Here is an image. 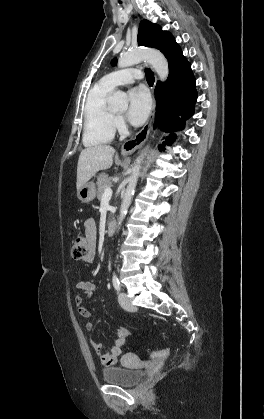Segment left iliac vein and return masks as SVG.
Instances as JSON below:
<instances>
[{
    "label": "left iliac vein",
    "mask_w": 264,
    "mask_h": 419,
    "mask_svg": "<svg viewBox=\"0 0 264 419\" xmlns=\"http://www.w3.org/2000/svg\"><path fill=\"white\" fill-rule=\"evenodd\" d=\"M121 307L127 311H135L137 308L132 304L131 300L125 292H121L118 296Z\"/></svg>",
    "instance_id": "obj_1"
}]
</instances>
